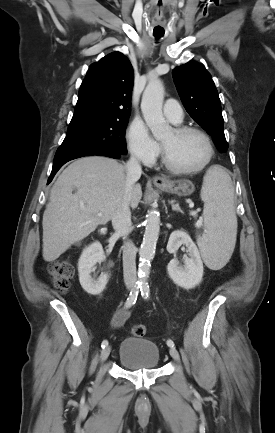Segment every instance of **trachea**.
I'll list each match as a JSON object with an SVG mask.
<instances>
[{"instance_id":"obj_1","label":"trachea","mask_w":275,"mask_h":433,"mask_svg":"<svg viewBox=\"0 0 275 433\" xmlns=\"http://www.w3.org/2000/svg\"><path fill=\"white\" fill-rule=\"evenodd\" d=\"M161 37H162V36H155L156 39H159V38H161Z\"/></svg>"}]
</instances>
